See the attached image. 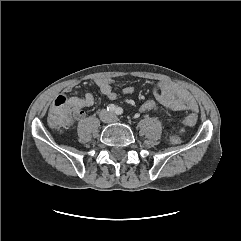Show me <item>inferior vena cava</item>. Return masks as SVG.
<instances>
[{
  "label": "inferior vena cava",
  "mask_w": 241,
  "mask_h": 241,
  "mask_svg": "<svg viewBox=\"0 0 241 241\" xmlns=\"http://www.w3.org/2000/svg\"><path fill=\"white\" fill-rule=\"evenodd\" d=\"M108 115V117H106ZM100 118L104 122H112L113 121V115L111 113L106 112L105 110L101 111Z\"/></svg>",
  "instance_id": "602c4592"
}]
</instances>
